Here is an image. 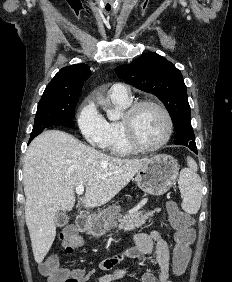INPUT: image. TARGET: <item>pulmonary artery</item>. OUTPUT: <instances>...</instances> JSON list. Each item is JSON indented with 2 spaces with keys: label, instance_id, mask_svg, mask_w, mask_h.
Here are the masks:
<instances>
[{
  "label": "pulmonary artery",
  "instance_id": "obj_1",
  "mask_svg": "<svg viewBox=\"0 0 232 282\" xmlns=\"http://www.w3.org/2000/svg\"><path fill=\"white\" fill-rule=\"evenodd\" d=\"M110 96L116 99H130L129 88L122 83H115L110 88Z\"/></svg>",
  "mask_w": 232,
  "mask_h": 282
}]
</instances>
